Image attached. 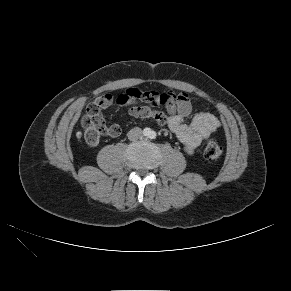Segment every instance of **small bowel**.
Segmentation results:
<instances>
[{
	"label": "small bowel",
	"mask_w": 291,
	"mask_h": 291,
	"mask_svg": "<svg viewBox=\"0 0 291 291\" xmlns=\"http://www.w3.org/2000/svg\"><path fill=\"white\" fill-rule=\"evenodd\" d=\"M160 94H167L170 97V105L165 112L155 110L147 103L150 97L155 98ZM121 95L127 97L129 115L141 119L152 118L159 125L168 126L188 154H192L221 125L219 119L212 113L199 112L192 115L193 105L186 93L144 92L136 88H128ZM113 100L114 97L110 94H105L95 99L94 103L101 117V110L110 107L113 104ZM187 119H189V122H186ZM111 126L118 131L116 134H111V136H118L121 131L120 127L116 124Z\"/></svg>",
	"instance_id": "obj_1"
}]
</instances>
